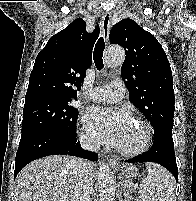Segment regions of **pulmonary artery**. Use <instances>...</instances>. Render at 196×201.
Here are the masks:
<instances>
[{
	"label": "pulmonary artery",
	"mask_w": 196,
	"mask_h": 201,
	"mask_svg": "<svg viewBox=\"0 0 196 201\" xmlns=\"http://www.w3.org/2000/svg\"><path fill=\"white\" fill-rule=\"evenodd\" d=\"M125 95V86L121 80H113L111 83L93 88L88 96L99 102H117Z\"/></svg>",
	"instance_id": "1"
}]
</instances>
